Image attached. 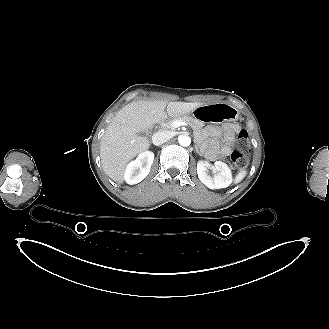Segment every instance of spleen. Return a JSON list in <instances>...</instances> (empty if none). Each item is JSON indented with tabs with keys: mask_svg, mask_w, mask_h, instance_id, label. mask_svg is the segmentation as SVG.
I'll return each mask as SVG.
<instances>
[{
	"mask_svg": "<svg viewBox=\"0 0 329 329\" xmlns=\"http://www.w3.org/2000/svg\"><path fill=\"white\" fill-rule=\"evenodd\" d=\"M246 174H247V172L245 170L239 171L236 176L235 183L241 182L244 179V177L246 176Z\"/></svg>",
	"mask_w": 329,
	"mask_h": 329,
	"instance_id": "1",
	"label": "spleen"
}]
</instances>
